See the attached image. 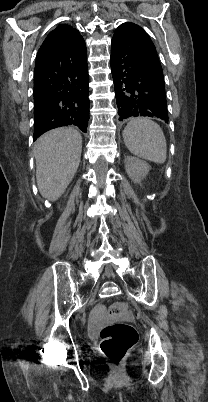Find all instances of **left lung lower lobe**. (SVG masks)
Segmentation results:
<instances>
[{"label": "left lung lower lobe", "mask_w": 208, "mask_h": 402, "mask_svg": "<svg viewBox=\"0 0 208 402\" xmlns=\"http://www.w3.org/2000/svg\"><path fill=\"white\" fill-rule=\"evenodd\" d=\"M148 34L134 23L120 25L111 41V70L119 120L156 117L168 122L163 77L146 66Z\"/></svg>", "instance_id": "obj_1"}]
</instances>
